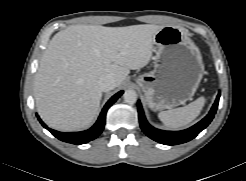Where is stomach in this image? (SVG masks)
Listing matches in <instances>:
<instances>
[{
    "mask_svg": "<svg viewBox=\"0 0 246 181\" xmlns=\"http://www.w3.org/2000/svg\"><path fill=\"white\" fill-rule=\"evenodd\" d=\"M154 70L136 79L152 110L171 109L190 100L204 75L199 48L183 27L165 26L153 39Z\"/></svg>",
    "mask_w": 246,
    "mask_h": 181,
    "instance_id": "obj_1",
    "label": "stomach"
}]
</instances>
